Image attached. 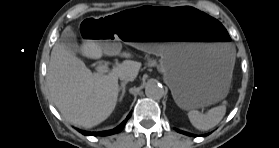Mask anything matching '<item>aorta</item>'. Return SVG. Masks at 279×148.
Returning a JSON list of instances; mask_svg holds the SVG:
<instances>
[{"label": "aorta", "instance_id": "1", "mask_svg": "<svg viewBox=\"0 0 279 148\" xmlns=\"http://www.w3.org/2000/svg\"><path fill=\"white\" fill-rule=\"evenodd\" d=\"M164 88L155 82H148L145 86V94L152 99H161L164 96Z\"/></svg>", "mask_w": 279, "mask_h": 148}]
</instances>
